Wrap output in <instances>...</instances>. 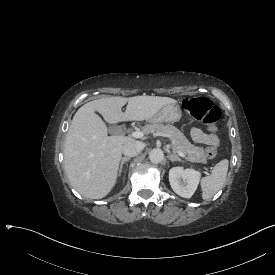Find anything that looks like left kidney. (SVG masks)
<instances>
[{
    "mask_svg": "<svg viewBox=\"0 0 275 275\" xmlns=\"http://www.w3.org/2000/svg\"><path fill=\"white\" fill-rule=\"evenodd\" d=\"M201 177L202 172L193 168L184 169L182 166H176L169 170V182L172 189L178 195L186 198L193 196Z\"/></svg>",
    "mask_w": 275,
    "mask_h": 275,
    "instance_id": "obj_1",
    "label": "left kidney"
}]
</instances>
